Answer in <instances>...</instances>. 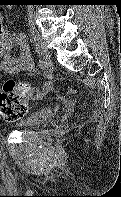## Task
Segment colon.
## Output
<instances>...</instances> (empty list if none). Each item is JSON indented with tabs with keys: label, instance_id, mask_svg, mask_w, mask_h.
<instances>
[{
	"label": "colon",
	"instance_id": "obj_1",
	"mask_svg": "<svg viewBox=\"0 0 121 197\" xmlns=\"http://www.w3.org/2000/svg\"><path fill=\"white\" fill-rule=\"evenodd\" d=\"M33 87L23 81L8 80L0 91V115L6 121H17L27 111V101L33 99Z\"/></svg>",
	"mask_w": 121,
	"mask_h": 197
}]
</instances>
